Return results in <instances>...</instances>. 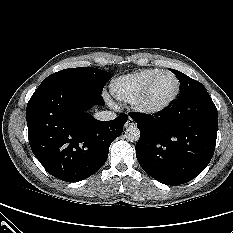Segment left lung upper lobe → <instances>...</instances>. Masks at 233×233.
<instances>
[{
	"mask_svg": "<svg viewBox=\"0 0 233 233\" xmlns=\"http://www.w3.org/2000/svg\"><path fill=\"white\" fill-rule=\"evenodd\" d=\"M171 71L177 76L180 81V97H184L195 90L206 89L200 82L188 77L180 71L171 69Z\"/></svg>",
	"mask_w": 233,
	"mask_h": 233,
	"instance_id": "left-lung-upper-lobe-1",
	"label": "left lung upper lobe"
}]
</instances>
